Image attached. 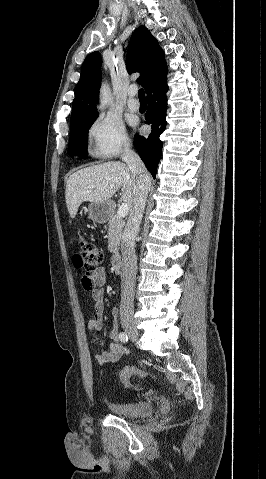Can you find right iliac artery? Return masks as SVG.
<instances>
[{
  "instance_id": "obj_1",
  "label": "right iliac artery",
  "mask_w": 266,
  "mask_h": 479,
  "mask_svg": "<svg viewBox=\"0 0 266 479\" xmlns=\"http://www.w3.org/2000/svg\"><path fill=\"white\" fill-rule=\"evenodd\" d=\"M118 337H119V340L123 343H126L128 341V336L125 332H120Z\"/></svg>"
}]
</instances>
